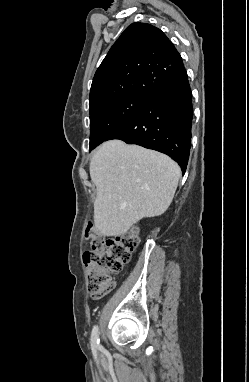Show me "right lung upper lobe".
<instances>
[{
	"mask_svg": "<svg viewBox=\"0 0 249 382\" xmlns=\"http://www.w3.org/2000/svg\"><path fill=\"white\" fill-rule=\"evenodd\" d=\"M184 70L180 54L160 29L133 23L114 43L94 75L90 110L128 95L150 97Z\"/></svg>",
	"mask_w": 249,
	"mask_h": 382,
	"instance_id": "right-lung-upper-lobe-1",
	"label": "right lung upper lobe"
}]
</instances>
